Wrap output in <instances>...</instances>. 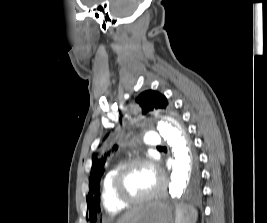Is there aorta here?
<instances>
[{"instance_id": "obj_1", "label": "aorta", "mask_w": 267, "mask_h": 223, "mask_svg": "<svg viewBox=\"0 0 267 223\" xmlns=\"http://www.w3.org/2000/svg\"><path fill=\"white\" fill-rule=\"evenodd\" d=\"M157 129L173 153V169L168 187L169 196L180 197L187 186L192 163L187 137L181 124L169 116L160 118Z\"/></svg>"}]
</instances>
